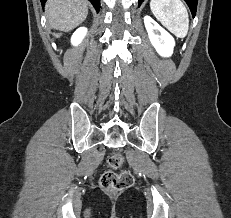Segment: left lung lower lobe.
<instances>
[{
  "instance_id": "left-lung-lower-lobe-1",
  "label": "left lung lower lobe",
  "mask_w": 231,
  "mask_h": 218,
  "mask_svg": "<svg viewBox=\"0 0 231 218\" xmlns=\"http://www.w3.org/2000/svg\"><path fill=\"white\" fill-rule=\"evenodd\" d=\"M144 0H139V6L141 5V3L143 2ZM185 2L188 4L190 10H191V13L193 15V17L195 16L196 14V8H197V2L198 0H185Z\"/></svg>"
}]
</instances>
